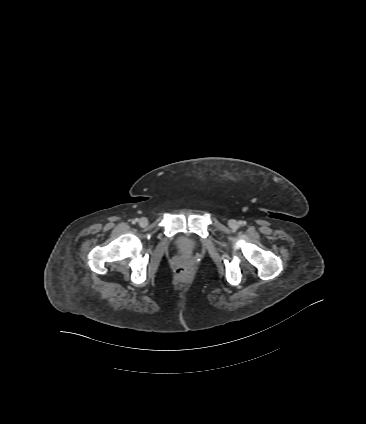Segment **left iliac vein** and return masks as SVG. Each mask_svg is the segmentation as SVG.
<instances>
[{"label": "left iliac vein", "mask_w": 366, "mask_h": 424, "mask_svg": "<svg viewBox=\"0 0 366 424\" xmlns=\"http://www.w3.org/2000/svg\"><path fill=\"white\" fill-rule=\"evenodd\" d=\"M228 225L233 229H237L239 226L238 222L234 219L229 220Z\"/></svg>", "instance_id": "obj_1"}]
</instances>
